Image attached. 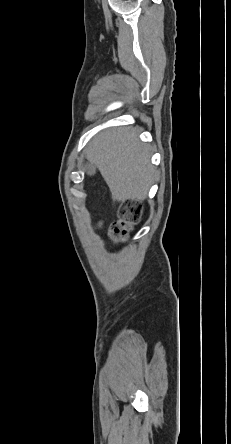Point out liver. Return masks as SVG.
I'll use <instances>...</instances> for the list:
<instances>
[{"mask_svg":"<svg viewBox=\"0 0 231 444\" xmlns=\"http://www.w3.org/2000/svg\"><path fill=\"white\" fill-rule=\"evenodd\" d=\"M137 136L131 127L107 130L87 147V158L101 172L114 200L145 199L156 178L150 147Z\"/></svg>","mask_w":231,"mask_h":444,"instance_id":"liver-1","label":"liver"}]
</instances>
